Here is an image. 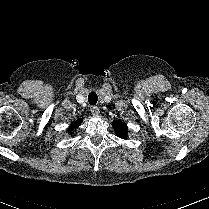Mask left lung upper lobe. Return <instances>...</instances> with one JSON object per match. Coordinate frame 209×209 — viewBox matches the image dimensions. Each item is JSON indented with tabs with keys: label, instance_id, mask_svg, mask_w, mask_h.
Segmentation results:
<instances>
[{
	"label": "left lung upper lobe",
	"instance_id": "left-lung-upper-lobe-1",
	"mask_svg": "<svg viewBox=\"0 0 209 209\" xmlns=\"http://www.w3.org/2000/svg\"><path fill=\"white\" fill-rule=\"evenodd\" d=\"M113 127L119 137H121L123 139L126 138L127 126L125 123H122L120 121H118V122L115 121V122H113Z\"/></svg>",
	"mask_w": 209,
	"mask_h": 209
}]
</instances>
